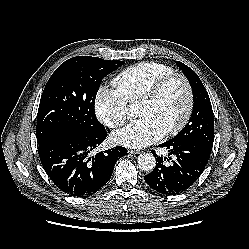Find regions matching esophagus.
Wrapping results in <instances>:
<instances>
[{
  "instance_id": "obj_1",
  "label": "esophagus",
  "mask_w": 249,
  "mask_h": 249,
  "mask_svg": "<svg viewBox=\"0 0 249 249\" xmlns=\"http://www.w3.org/2000/svg\"><path fill=\"white\" fill-rule=\"evenodd\" d=\"M128 153H129V154H139L140 151H138V150H133V149H129V150H128Z\"/></svg>"
}]
</instances>
